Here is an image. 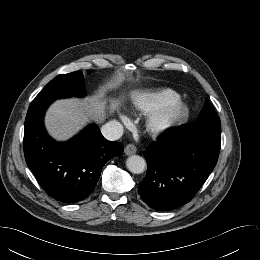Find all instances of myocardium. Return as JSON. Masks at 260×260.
I'll list each match as a JSON object with an SVG mask.
<instances>
[{
    "mask_svg": "<svg viewBox=\"0 0 260 260\" xmlns=\"http://www.w3.org/2000/svg\"><path fill=\"white\" fill-rule=\"evenodd\" d=\"M186 110V104L181 97L167 101L147 114L146 130L152 135L164 134L179 125Z\"/></svg>",
    "mask_w": 260,
    "mask_h": 260,
    "instance_id": "f54148a6",
    "label": "myocardium"
}]
</instances>
